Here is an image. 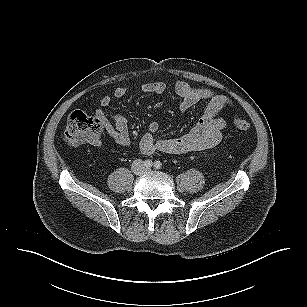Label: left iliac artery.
<instances>
[{
	"label": "left iliac artery",
	"instance_id": "obj_1",
	"mask_svg": "<svg viewBox=\"0 0 307 307\" xmlns=\"http://www.w3.org/2000/svg\"><path fill=\"white\" fill-rule=\"evenodd\" d=\"M154 167H155L156 169H160V168L162 167V163H161L160 161H155V162H154Z\"/></svg>",
	"mask_w": 307,
	"mask_h": 307
}]
</instances>
